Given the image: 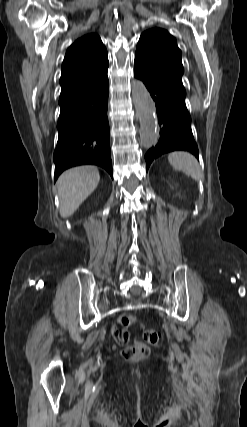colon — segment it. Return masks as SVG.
<instances>
[{
    "label": "colon",
    "instance_id": "1",
    "mask_svg": "<svg viewBox=\"0 0 247 427\" xmlns=\"http://www.w3.org/2000/svg\"><path fill=\"white\" fill-rule=\"evenodd\" d=\"M143 337L151 345H158L160 342V334L154 329L144 328ZM149 352L150 348L146 343L137 341L123 349V356L125 358H144L149 355Z\"/></svg>",
    "mask_w": 247,
    "mask_h": 427
}]
</instances>
